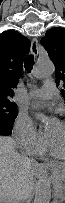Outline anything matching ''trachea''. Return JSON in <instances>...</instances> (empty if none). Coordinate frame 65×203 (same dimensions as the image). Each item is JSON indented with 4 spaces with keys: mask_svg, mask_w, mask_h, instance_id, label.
<instances>
[{
    "mask_svg": "<svg viewBox=\"0 0 65 203\" xmlns=\"http://www.w3.org/2000/svg\"><path fill=\"white\" fill-rule=\"evenodd\" d=\"M34 66V56L33 55H27L25 57V61H24V67L26 69L27 72H30L32 70Z\"/></svg>",
    "mask_w": 65,
    "mask_h": 203,
    "instance_id": "3493384b",
    "label": "trachea"
}]
</instances>
